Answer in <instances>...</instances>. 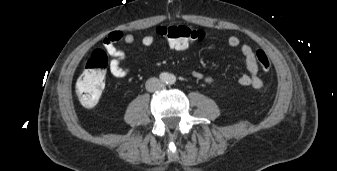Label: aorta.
<instances>
[{
	"label": "aorta",
	"instance_id": "762f6f07",
	"mask_svg": "<svg viewBox=\"0 0 337 171\" xmlns=\"http://www.w3.org/2000/svg\"><path fill=\"white\" fill-rule=\"evenodd\" d=\"M169 83H172V81L168 80Z\"/></svg>",
	"mask_w": 337,
	"mask_h": 171
}]
</instances>
